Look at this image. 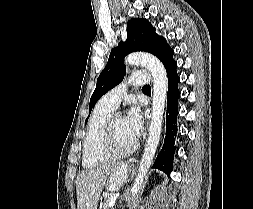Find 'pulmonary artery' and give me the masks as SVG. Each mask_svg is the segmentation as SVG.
<instances>
[{"label":"pulmonary artery","mask_w":253,"mask_h":209,"mask_svg":"<svg viewBox=\"0 0 253 209\" xmlns=\"http://www.w3.org/2000/svg\"><path fill=\"white\" fill-rule=\"evenodd\" d=\"M151 81L150 74L146 71H135L130 77L122 84L116 86L102 97V101L116 109L121 102L123 96L126 93L127 86H141L143 84H149Z\"/></svg>","instance_id":"obj_1"}]
</instances>
